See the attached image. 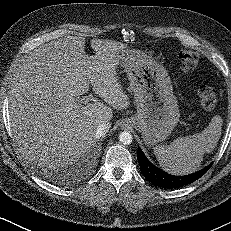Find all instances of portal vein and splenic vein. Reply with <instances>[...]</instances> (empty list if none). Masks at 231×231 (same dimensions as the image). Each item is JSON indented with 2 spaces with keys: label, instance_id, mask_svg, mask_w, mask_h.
Returning <instances> with one entry per match:
<instances>
[{
  "label": "portal vein and splenic vein",
  "instance_id": "portal-vein-and-splenic-vein-1",
  "mask_svg": "<svg viewBox=\"0 0 231 231\" xmlns=\"http://www.w3.org/2000/svg\"><path fill=\"white\" fill-rule=\"evenodd\" d=\"M92 99H93V96L89 95V96H85V97H82V98H77L76 103L79 104V105L87 104Z\"/></svg>",
  "mask_w": 231,
  "mask_h": 231
}]
</instances>
